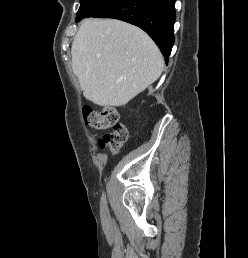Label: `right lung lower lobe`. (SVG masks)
I'll list each match as a JSON object with an SVG mask.
<instances>
[{"label":"right lung lower lobe","mask_w":248,"mask_h":258,"mask_svg":"<svg viewBox=\"0 0 248 258\" xmlns=\"http://www.w3.org/2000/svg\"><path fill=\"white\" fill-rule=\"evenodd\" d=\"M175 0H115L93 17L114 18L143 29L168 61L174 43Z\"/></svg>","instance_id":"1"}]
</instances>
